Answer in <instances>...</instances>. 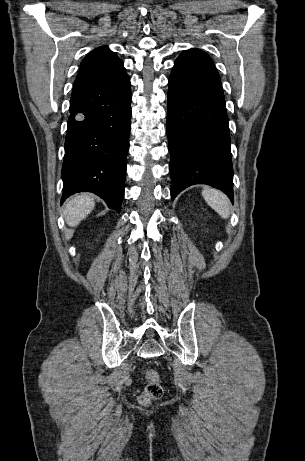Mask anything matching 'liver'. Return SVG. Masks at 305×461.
Segmentation results:
<instances>
[{
  "mask_svg": "<svg viewBox=\"0 0 305 461\" xmlns=\"http://www.w3.org/2000/svg\"><path fill=\"white\" fill-rule=\"evenodd\" d=\"M95 202L92 196L83 193L69 199L64 205V217L66 223L71 226H77L93 210Z\"/></svg>",
  "mask_w": 305,
  "mask_h": 461,
  "instance_id": "liver-1",
  "label": "liver"
}]
</instances>
